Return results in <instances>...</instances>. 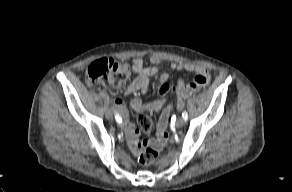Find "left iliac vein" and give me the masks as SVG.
I'll return each mask as SVG.
<instances>
[{
	"mask_svg": "<svg viewBox=\"0 0 292 192\" xmlns=\"http://www.w3.org/2000/svg\"><path fill=\"white\" fill-rule=\"evenodd\" d=\"M185 124V120L183 118H178L176 120V126L177 127H182Z\"/></svg>",
	"mask_w": 292,
	"mask_h": 192,
	"instance_id": "1",
	"label": "left iliac vein"
}]
</instances>
